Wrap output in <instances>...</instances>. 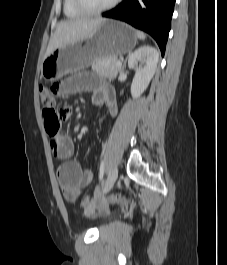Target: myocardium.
Here are the masks:
<instances>
[{
    "instance_id": "1",
    "label": "myocardium",
    "mask_w": 227,
    "mask_h": 265,
    "mask_svg": "<svg viewBox=\"0 0 227 265\" xmlns=\"http://www.w3.org/2000/svg\"><path fill=\"white\" fill-rule=\"evenodd\" d=\"M121 0H112L109 4L100 8H90L83 0H73L75 8L83 14H101L113 9Z\"/></svg>"
}]
</instances>
